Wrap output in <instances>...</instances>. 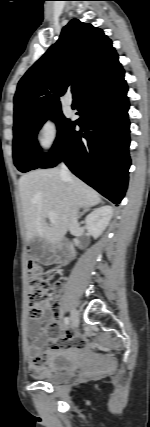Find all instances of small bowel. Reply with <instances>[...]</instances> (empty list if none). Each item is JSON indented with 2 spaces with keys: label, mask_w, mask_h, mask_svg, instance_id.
<instances>
[{
  "label": "small bowel",
  "mask_w": 150,
  "mask_h": 427,
  "mask_svg": "<svg viewBox=\"0 0 150 427\" xmlns=\"http://www.w3.org/2000/svg\"><path fill=\"white\" fill-rule=\"evenodd\" d=\"M60 311L61 304L52 302L51 311H48V318L46 320H36L30 325L32 343L27 348V354L28 370L33 376L45 377L48 373L47 367L44 366L45 357L42 355L44 346L52 345L53 349L82 348L87 343L86 338L79 335L62 336L56 324L51 327L50 331H47L44 323L56 322Z\"/></svg>",
  "instance_id": "small-bowel-1"
}]
</instances>
